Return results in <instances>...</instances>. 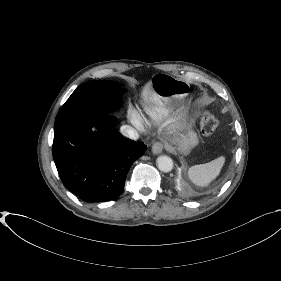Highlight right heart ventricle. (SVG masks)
Masks as SVG:
<instances>
[{"mask_svg": "<svg viewBox=\"0 0 281 281\" xmlns=\"http://www.w3.org/2000/svg\"><path fill=\"white\" fill-rule=\"evenodd\" d=\"M171 107L163 102L147 104L144 106V112L141 115L142 120L147 117L154 121H159L166 118L171 113Z\"/></svg>", "mask_w": 281, "mask_h": 281, "instance_id": "obj_1", "label": "right heart ventricle"}]
</instances>
